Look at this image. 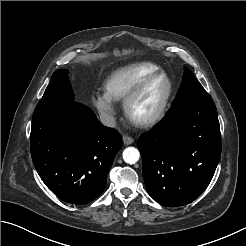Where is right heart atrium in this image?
<instances>
[{
	"instance_id": "obj_1",
	"label": "right heart atrium",
	"mask_w": 246,
	"mask_h": 246,
	"mask_svg": "<svg viewBox=\"0 0 246 246\" xmlns=\"http://www.w3.org/2000/svg\"><path fill=\"white\" fill-rule=\"evenodd\" d=\"M94 105L97 110L107 119L115 115V106L112 98L106 93H97L94 97Z\"/></svg>"
}]
</instances>
